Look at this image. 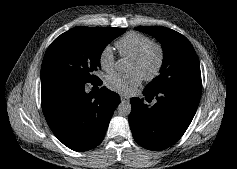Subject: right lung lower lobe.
<instances>
[{"mask_svg":"<svg viewBox=\"0 0 237 169\" xmlns=\"http://www.w3.org/2000/svg\"><path fill=\"white\" fill-rule=\"evenodd\" d=\"M99 80L94 84H101ZM42 109L55 136L68 148L87 151L101 143L114 110L117 93L102 87L85 93V84L61 79L41 81Z\"/></svg>","mask_w":237,"mask_h":169,"instance_id":"98d812e1","label":"right lung lower lobe"}]
</instances>
